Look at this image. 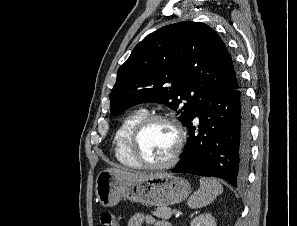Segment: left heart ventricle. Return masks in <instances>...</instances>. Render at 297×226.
Instances as JSON below:
<instances>
[{"instance_id":"left-heart-ventricle-1","label":"left heart ventricle","mask_w":297,"mask_h":226,"mask_svg":"<svg viewBox=\"0 0 297 226\" xmlns=\"http://www.w3.org/2000/svg\"><path fill=\"white\" fill-rule=\"evenodd\" d=\"M177 135L174 128L165 122L149 124L139 140V152L149 163H162L168 160L176 146Z\"/></svg>"}]
</instances>
